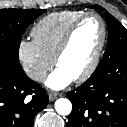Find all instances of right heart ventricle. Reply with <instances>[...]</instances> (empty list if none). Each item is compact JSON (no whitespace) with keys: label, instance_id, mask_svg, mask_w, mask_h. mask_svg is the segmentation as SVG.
<instances>
[{"label":"right heart ventricle","instance_id":"right-heart-ventricle-1","mask_svg":"<svg viewBox=\"0 0 127 127\" xmlns=\"http://www.w3.org/2000/svg\"><path fill=\"white\" fill-rule=\"evenodd\" d=\"M82 14L83 11L66 10L41 18L31 30L34 42L45 55L53 58L65 32Z\"/></svg>","mask_w":127,"mask_h":127}]
</instances>
